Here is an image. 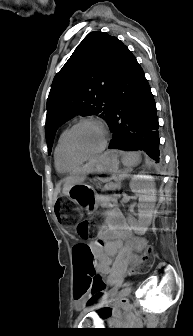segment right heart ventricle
Masks as SVG:
<instances>
[{"mask_svg":"<svg viewBox=\"0 0 193 336\" xmlns=\"http://www.w3.org/2000/svg\"><path fill=\"white\" fill-rule=\"evenodd\" d=\"M66 130L62 131L58 137L54 150V160L58 172L63 174L75 172L83 161L70 159L64 149V137Z\"/></svg>","mask_w":193,"mask_h":336,"instance_id":"right-heart-ventricle-1","label":"right heart ventricle"}]
</instances>
